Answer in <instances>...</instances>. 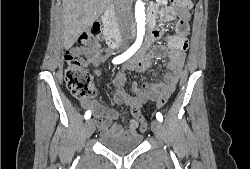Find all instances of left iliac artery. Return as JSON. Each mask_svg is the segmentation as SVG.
I'll return each instance as SVG.
<instances>
[{
	"label": "left iliac artery",
	"mask_w": 250,
	"mask_h": 169,
	"mask_svg": "<svg viewBox=\"0 0 250 169\" xmlns=\"http://www.w3.org/2000/svg\"><path fill=\"white\" fill-rule=\"evenodd\" d=\"M156 118H157V120L160 121V122L163 121V116H162V114H161L160 112H158V113L156 114Z\"/></svg>",
	"instance_id": "obj_1"
}]
</instances>
